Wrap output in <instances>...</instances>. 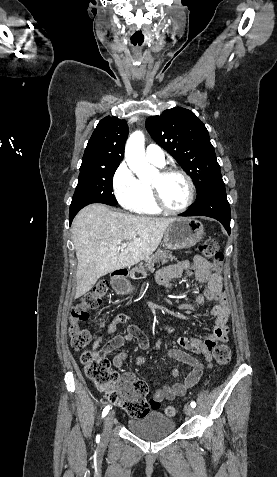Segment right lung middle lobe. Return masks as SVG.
I'll return each mask as SVG.
<instances>
[{
	"label": "right lung middle lobe",
	"instance_id": "1",
	"mask_svg": "<svg viewBox=\"0 0 277 477\" xmlns=\"http://www.w3.org/2000/svg\"><path fill=\"white\" fill-rule=\"evenodd\" d=\"M117 168L118 166L80 171L78 184L70 205V223L78 211L88 204H117V200L112 194V180Z\"/></svg>",
	"mask_w": 277,
	"mask_h": 477
}]
</instances>
